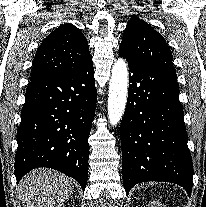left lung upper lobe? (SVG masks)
<instances>
[{"label":"left lung upper lobe","instance_id":"obj_1","mask_svg":"<svg viewBox=\"0 0 206 207\" xmlns=\"http://www.w3.org/2000/svg\"><path fill=\"white\" fill-rule=\"evenodd\" d=\"M119 52L149 65L176 72L166 40L137 17L128 22Z\"/></svg>","mask_w":206,"mask_h":207}]
</instances>
